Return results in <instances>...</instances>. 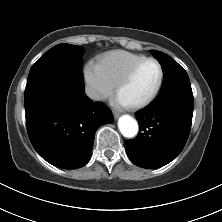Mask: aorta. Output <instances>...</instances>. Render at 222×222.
Masks as SVG:
<instances>
[{"label":"aorta","instance_id":"obj_1","mask_svg":"<svg viewBox=\"0 0 222 222\" xmlns=\"http://www.w3.org/2000/svg\"><path fill=\"white\" fill-rule=\"evenodd\" d=\"M118 127L121 134L127 138H133L138 133V123L129 115H123L119 118Z\"/></svg>","mask_w":222,"mask_h":222}]
</instances>
